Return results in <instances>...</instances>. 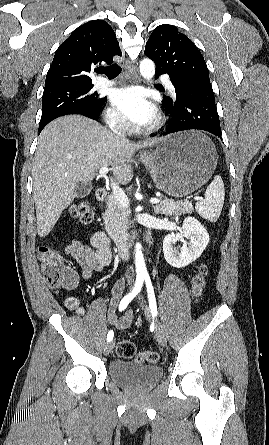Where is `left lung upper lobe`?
I'll use <instances>...</instances> for the list:
<instances>
[{"label": "left lung upper lobe", "instance_id": "5c2ea615", "mask_svg": "<svg viewBox=\"0 0 269 445\" xmlns=\"http://www.w3.org/2000/svg\"><path fill=\"white\" fill-rule=\"evenodd\" d=\"M145 54L155 62L156 71L168 74L172 81L210 82L202 54L173 25H160L153 30L146 43Z\"/></svg>", "mask_w": 269, "mask_h": 445}]
</instances>
